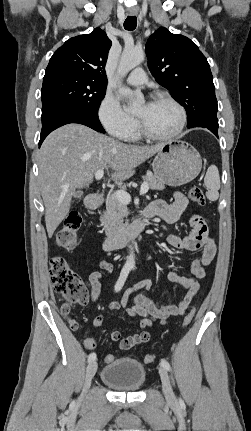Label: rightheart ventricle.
Wrapping results in <instances>:
<instances>
[{"label": "right heart ventricle", "instance_id": "obj_1", "mask_svg": "<svg viewBox=\"0 0 251 431\" xmlns=\"http://www.w3.org/2000/svg\"><path fill=\"white\" fill-rule=\"evenodd\" d=\"M138 133L136 132V130H135V132L128 138V139H131V140H134V139H137L138 138Z\"/></svg>", "mask_w": 251, "mask_h": 431}]
</instances>
